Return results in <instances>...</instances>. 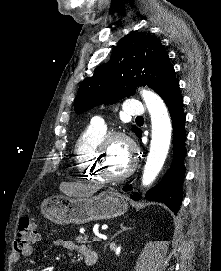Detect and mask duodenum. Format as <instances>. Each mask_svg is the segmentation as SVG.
I'll return each instance as SVG.
<instances>
[{
  "label": "duodenum",
  "instance_id": "410a0bca",
  "mask_svg": "<svg viewBox=\"0 0 221 271\" xmlns=\"http://www.w3.org/2000/svg\"><path fill=\"white\" fill-rule=\"evenodd\" d=\"M85 262H86V264H88V265H93V264H95V263L97 262V254L94 253V254H91V255L87 256V257L85 258Z\"/></svg>",
  "mask_w": 221,
  "mask_h": 271
}]
</instances>
